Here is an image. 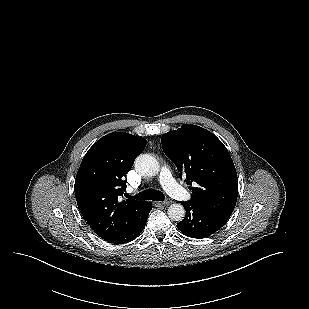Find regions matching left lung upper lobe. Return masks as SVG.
<instances>
[{"label":"left lung upper lobe","mask_w":309,"mask_h":309,"mask_svg":"<svg viewBox=\"0 0 309 309\" xmlns=\"http://www.w3.org/2000/svg\"><path fill=\"white\" fill-rule=\"evenodd\" d=\"M164 153L186 178L193 204L229 218L236 205L238 178L224 144L211 132L184 124L161 138Z\"/></svg>","instance_id":"5c2ea615"}]
</instances>
